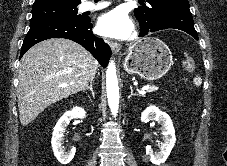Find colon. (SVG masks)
<instances>
[{
  "label": "colon",
  "mask_w": 227,
  "mask_h": 166,
  "mask_svg": "<svg viewBox=\"0 0 227 166\" xmlns=\"http://www.w3.org/2000/svg\"><path fill=\"white\" fill-rule=\"evenodd\" d=\"M182 64L187 71H192L194 68L193 60L188 55L183 56Z\"/></svg>",
  "instance_id": "obj_1"
}]
</instances>
